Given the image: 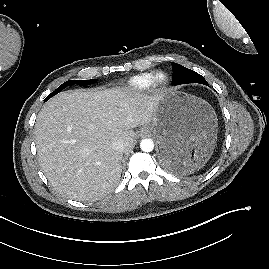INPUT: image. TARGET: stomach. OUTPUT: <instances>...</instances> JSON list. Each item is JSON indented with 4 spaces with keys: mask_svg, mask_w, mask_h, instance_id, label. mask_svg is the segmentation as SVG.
Returning a JSON list of instances; mask_svg holds the SVG:
<instances>
[{
    "mask_svg": "<svg viewBox=\"0 0 269 269\" xmlns=\"http://www.w3.org/2000/svg\"><path fill=\"white\" fill-rule=\"evenodd\" d=\"M145 130L157 138L161 164L183 171L211 156L217 139V116L205 100L170 90L157 97L154 117L141 132Z\"/></svg>",
    "mask_w": 269,
    "mask_h": 269,
    "instance_id": "obj_1",
    "label": "stomach"
}]
</instances>
